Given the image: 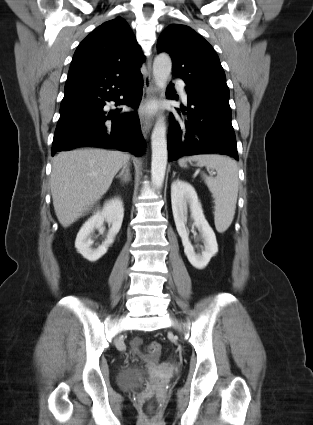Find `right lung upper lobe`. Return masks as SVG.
<instances>
[{"label":"right lung upper lobe","instance_id":"cb5924a9","mask_svg":"<svg viewBox=\"0 0 313 425\" xmlns=\"http://www.w3.org/2000/svg\"><path fill=\"white\" fill-rule=\"evenodd\" d=\"M145 57L129 25L116 17L92 31L76 49L68 78L125 75L140 68Z\"/></svg>","mask_w":313,"mask_h":425}]
</instances>
